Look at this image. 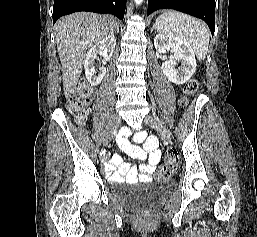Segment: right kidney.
Segmentation results:
<instances>
[{
  "label": "right kidney",
  "mask_w": 257,
  "mask_h": 237,
  "mask_svg": "<svg viewBox=\"0 0 257 237\" xmlns=\"http://www.w3.org/2000/svg\"><path fill=\"white\" fill-rule=\"evenodd\" d=\"M115 46V36L109 35L94 44L93 47L88 51L84 61V69L86 78L92 86L99 85L106 74V69L104 67H100L98 72L95 71L94 63L97 55L103 56L105 60H110L113 55Z\"/></svg>",
  "instance_id": "1"
}]
</instances>
